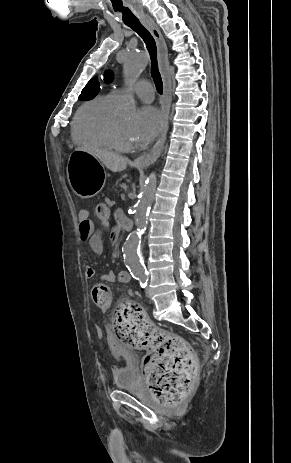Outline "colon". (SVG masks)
Here are the masks:
<instances>
[{
    "label": "colon",
    "mask_w": 291,
    "mask_h": 463,
    "mask_svg": "<svg viewBox=\"0 0 291 463\" xmlns=\"http://www.w3.org/2000/svg\"><path fill=\"white\" fill-rule=\"evenodd\" d=\"M111 214V204L93 206V217L100 225L107 224V216ZM92 299L98 308H110L111 289L104 283L95 284ZM112 324L121 342L151 349L144 362L143 373L155 398L166 405L185 400L197 377L196 357L187 343L178 336L156 331L135 303L118 304L113 312Z\"/></svg>",
    "instance_id": "1"
}]
</instances>
